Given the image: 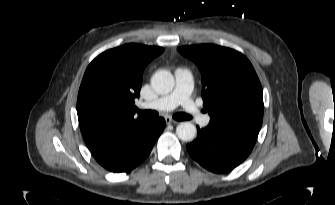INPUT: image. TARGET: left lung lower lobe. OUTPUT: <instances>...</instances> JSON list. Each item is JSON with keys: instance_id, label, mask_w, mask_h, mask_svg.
I'll return each instance as SVG.
<instances>
[{"instance_id": "0a47b994", "label": "left lung lower lobe", "mask_w": 335, "mask_h": 205, "mask_svg": "<svg viewBox=\"0 0 335 205\" xmlns=\"http://www.w3.org/2000/svg\"><path fill=\"white\" fill-rule=\"evenodd\" d=\"M256 139L209 123L199 129L197 138L187 145L191 157L214 173H226L251 153Z\"/></svg>"}]
</instances>
